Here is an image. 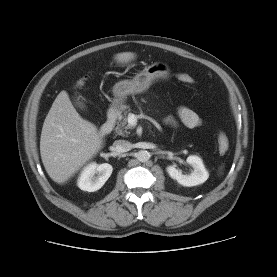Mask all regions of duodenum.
Returning a JSON list of instances; mask_svg holds the SVG:
<instances>
[{
  "label": "duodenum",
  "instance_id": "1",
  "mask_svg": "<svg viewBox=\"0 0 277 277\" xmlns=\"http://www.w3.org/2000/svg\"><path fill=\"white\" fill-rule=\"evenodd\" d=\"M119 108L117 106H113L107 115V119L105 121V123L102 125L101 129H100V134L102 136H106L108 134H110L115 126V123L118 119L119 116Z\"/></svg>",
  "mask_w": 277,
  "mask_h": 277
}]
</instances>
